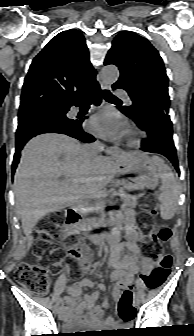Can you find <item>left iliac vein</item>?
<instances>
[{
  "label": "left iliac vein",
  "instance_id": "1",
  "mask_svg": "<svg viewBox=\"0 0 194 336\" xmlns=\"http://www.w3.org/2000/svg\"><path fill=\"white\" fill-rule=\"evenodd\" d=\"M139 305V300H135V306H138Z\"/></svg>",
  "mask_w": 194,
  "mask_h": 336
}]
</instances>
